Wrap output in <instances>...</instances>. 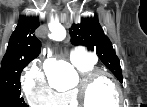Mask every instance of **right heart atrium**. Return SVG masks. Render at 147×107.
Returning a JSON list of instances; mask_svg holds the SVG:
<instances>
[{"instance_id":"right-heart-atrium-1","label":"right heart atrium","mask_w":147,"mask_h":107,"mask_svg":"<svg viewBox=\"0 0 147 107\" xmlns=\"http://www.w3.org/2000/svg\"><path fill=\"white\" fill-rule=\"evenodd\" d=\"M22 90L29 105L46 107L56 103L57 94L49 86L39 62H33L22 79Z\"/></svg>"}]
</instances>
